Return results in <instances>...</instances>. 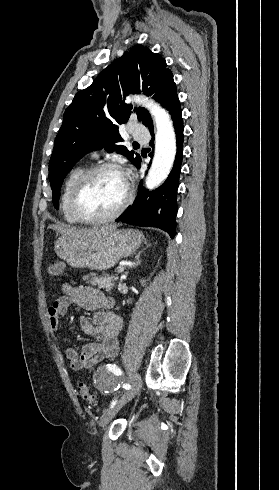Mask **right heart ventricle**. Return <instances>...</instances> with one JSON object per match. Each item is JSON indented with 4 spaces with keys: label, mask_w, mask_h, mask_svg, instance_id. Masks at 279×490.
<instances>
[{
    "label": "right heart ventricle",
    "mask_w": 279,
    "mask_h": 490,
    "mask_svg": "<svg viewBox=\"0 0 279 490\" xmlns=\"http://www.w3.org/2000/svg\"><path fill=\"white\" fill-rule=\"evenodd\" d=\"M85 170V167L81 165L72 168L67 174L62 185L60 210L63 219L72 225L83 224V222L78 219L73 211L72 198L75 186Z\"/></svg>",
    "instance_id": "e07e8e85"
}]
</instances>
